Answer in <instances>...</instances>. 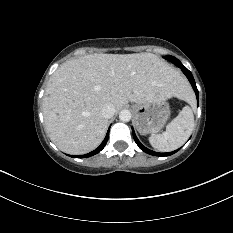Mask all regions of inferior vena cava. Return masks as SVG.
Masks as SVG:
<instances>
[{
	"label": "inferior vena cava",
	"mask_w": 233,
	"mask_h": 233,
	"mask_svg": "<svg viewBox=\"0 0 233 233\" xmlns=\"http://www.w3.org/2000/svg\"><path fill=\"white\" fill-rule=\"evenodd\" d=\"M115 107L112 104H106L101 109V114L104 118L110 119L115 114Z\"/></svg>",
	"instance_id": "obj_1"
}]
</instances>
